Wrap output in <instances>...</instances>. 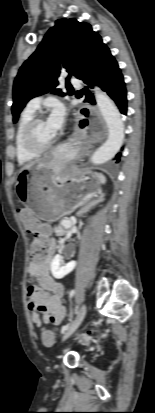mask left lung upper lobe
<instances>
[{
    "label": "left lung upper lobe",
    "instance_id": "5c2ea615",
    "mask_svg": "<svg viewBox=\"0 0 155 413\" xmlns=\"http://www.w3.org/2000/svg\"><path fill=\"white\" fill-rule=\"evenodd\" d=\"M106 45L90 24L60 19L44 36L36 51L23 63L13 86V122L26 103L58 85L61 71L81 79ZM53 93L65 95L60 89ZM71 95V94H70Z\"/></svg>",
    "mask_w": 155,
    "mask_h": 413
}]
</instances>
